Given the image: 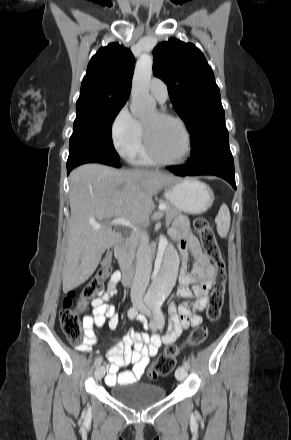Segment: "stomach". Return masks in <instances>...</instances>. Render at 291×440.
Listing matches in <instances>:
<instances>
[{"label": "stomach", "instance_id": "stomach-1", "mask_svg": "<svg viewBox=\"0 0 291 440\" xmlns=\"http://www.w3.org/2000/svg\"><path fill=\"white\" fill-rule=\"evenodd\" d=\"M164 197L180 211L199 215L206 212L214 202L213 190L194 178L177 179L165 186Z\"/></svg>", "mask_w": 291, "mask_h": 440}]
</instances>
